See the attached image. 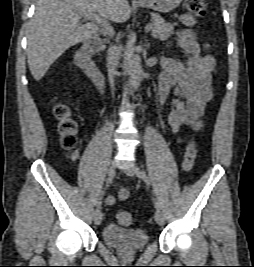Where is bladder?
I'll use <instances>...</instances> for the list:
<instances>
[{"instance_id":"1","label":"bladder","mask_w":254,"mask_h":267,"mask_svg":"<svg viewBox=\"0 0 254 267\" xmlns=\"http://www.w3.org/2000/svg\"><path fill=\"white\" fill-rule=\"evenodd\" d=\"M102 237L109 245L126 252L142 250L148 244V235L143 229L123 228L114 223L103 228Z\"/></svg>"}]
</instances>
